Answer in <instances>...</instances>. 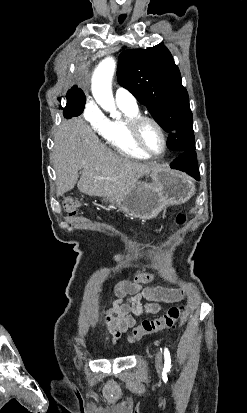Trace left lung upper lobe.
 <instances>
[{
    "label": "left lung upper lobe",
    "instance_id": "obj_1",
    "mask_svg": "<svg viewBox=\"0 0 247 413\" xmlns=\"http://www.w3.org/2000/svg\"><path fill=\"white\" fill-rule=\"evenodd\" d=\"M117 76L119 84L145 105L169 133V149L178 153L195 150L188 93L182 86L180 71L164 45L122 52Z\"/></svg>",
    "mask_w": 247,
    "mask_h": 413
}]
</instances>
